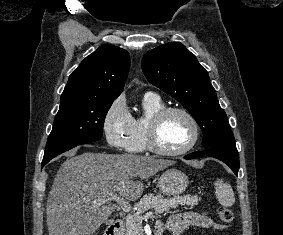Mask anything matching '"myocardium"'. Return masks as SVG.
Returning a JSON list of instances; mask_svg holds the SVG:
<instances>
[{"mask_svg":"<svg viewBox=\"0 0 283 235\" xmlns=\"http://www.w3.org/2000/svg\"><path fill=\"white\" fill-rule=\"evenodd\" d=\"M171 113H180L184 115L188 119L192 127V136L190 141L184 147L174 151H168L160 148L156 139L159 125L165 119V117ZM199 138H200V127L198 121L189 110L179 106L162 108L150 118L146 128L147 149L150 152L159 156L176 157V156L184 155L189 151H191L196 146V144L199 141Z\"/></svg>","mask_w":283,"mask_h":235,"instance_id":"myocardium-1","label":"myocardium"}]
</instances>
